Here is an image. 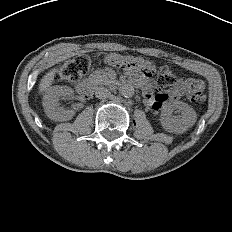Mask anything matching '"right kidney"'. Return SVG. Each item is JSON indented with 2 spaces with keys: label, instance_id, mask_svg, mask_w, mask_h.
<instances>
[{
  "label": "right kidney",
  "instance_id": "obj_1",
  "mask_svg": "<svg viewBox=\"0 0 232 232\" xmlns=\"http://www.w3.org/2000/svg\"><path fill=\"white\" fill-rule=\"evenodd\" d=\"M73 95L72 88L68 86H52L43 96V107L47 117L53 121H69L75 115V110L64 109L60 106L61 97Z\"/></svg>",
  "mask_w": 232,
  "mask_h": 232
}]
</instances>
